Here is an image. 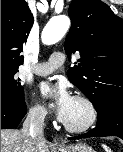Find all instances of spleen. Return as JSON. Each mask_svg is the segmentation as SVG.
Wrapping results in <instances>:
<instances>
[{"instance_id":"1","label":"spleen","mask_w":123,"mask_h":152,"mask_svg":"<svg viewBox=\"0 0 123 152\" xmlns=\"http://www.w3.org/2000/svg\"><path fill=\"white\" fill-rule=\"evenodd\" d=\"M106 152H111V150L107 146H103Z\"/></svg>"}]
</instances>
